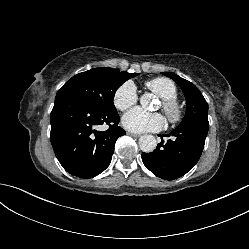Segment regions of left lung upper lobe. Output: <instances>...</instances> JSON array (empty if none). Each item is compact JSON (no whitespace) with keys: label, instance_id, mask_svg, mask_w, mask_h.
Segmentation results:
<instances>
[{"label":"left lung upper lobe","instance_id":"obj_1","mask_svg":"<svg viewBox=\"0 0 249 249\" xmlns=\"http://www.w3.org/2000/svg\"><path fill=\"white\" fill-rule=\"evenodd\" d=\"M162 74L174 80L185 94L186 114L179 126H184L198 119L208 120V104L199 89L174 73L162 72Z\"/></svg>","mask_w":249,"mask_h":249}]
</instances>
